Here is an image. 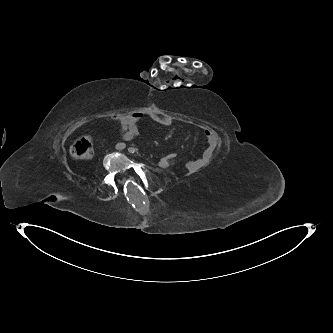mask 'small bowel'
<instances>
[{
	"label": "small bowel",
	"instance_id": "c3829d8e",
	"mask_svg": "<svg viewBox=\"0 0 333 333\" xmlns=\"http://www.w3.org/2000/svg\"><path fill=\"white\" fill-rule=\"evenodd\" d=\"M148 118L153 122L160 125L168 126L172 123V118L166 114H160L157 112H147V113H133L130 115L120 116L115 118V123L118 126V130L121 138L124 141H128L138 136L140 133V124L143 118ZM205 138L208 142L207 148L204 150L202 155L196 159H189L185 162V167L190 171H197L204 166H206L213 154V133L210 130L204 131ZM170 154V153H169ZM174 154V153H173ZM164 157V156H163ZM162 168H170L176 164V157L174 156L171 161H165L164 164L159 162Z\"/></svg>",
	"mask_w": 333,
	"mask_h": 333
}]
</instances>
